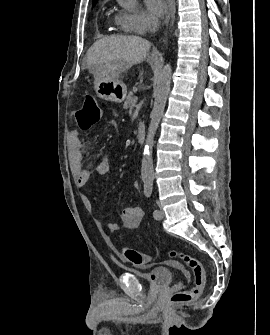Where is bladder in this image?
Here are the masks:
<instances>
[{
	"label": "bladder",
	"mask_w": 270,
	"mask_h": 335,
	"mask_svg": "<svg viewBox=\"0 0 270 335\" xmlns=\"http://www.w3.org/2000/svg\"><path fill=\"white\" fill-rule=\"evenodd\" d=\"M131 273L137 275L141 281L147 282L154 288H159L170 285L174 270L168 268H155L148 273L139 274L137 271H131Z\"/></svg>",
	"instance_id": "31cf9c89"
}]
</instances>
